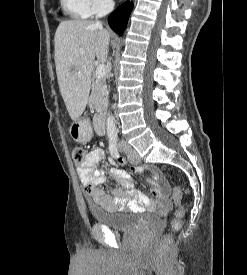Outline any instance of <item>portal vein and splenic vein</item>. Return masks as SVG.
<instances>
[{"label":"portal vein and splenic vein","mask_w":247,"mask_h":275,"mask_svg":"<svg viewBox=\"0 0 247 275\" xmlns=\"http://www.w3.org/2000/svg\"><path fill=\"white\" fill-rule=\"evenodd\" d=\"M106 73V67L104 64H99L96 68L95 74L98 79L102 78Z\"/></svg>","instance_id":"1"}]
</instances>
